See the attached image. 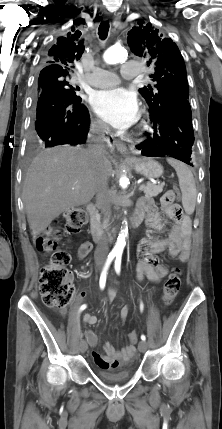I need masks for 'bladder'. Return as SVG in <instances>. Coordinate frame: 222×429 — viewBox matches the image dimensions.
I'll return each instance as SVG.
<instances>
[{
  "instance_id": "1",
  "label": "bladder",
  "mask_w": 222,
  "mask_h": 429,
  "mask_svg": "<svg viewBox=\"0 0 222 429\" xmlns=\"http://www.w3.org/2000/svg\"><path fill=\"white\" fill-rule=\"evenodd\" d=\"M97 377L108 383H120L129 380L132 376V372L129 369L120 370L117 372H108L104 370H99L96 373Z\"/></svg>"
}]
</instances>
